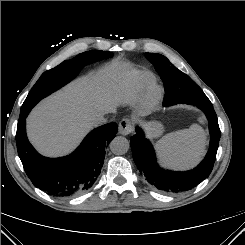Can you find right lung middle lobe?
Listing matches in <instances>:
<instances>
[{"label":"right lung middle lobe","mask_w":245,"mask_h":245,"mask_svg":"<svg viewBox=\"0 0 245 245\" xmlns=\"http://www.w3.org/2000/svg\"><path fill=\"white\" fill-rule=\"evenodd\" d=\"M111 56L112 53L109 51L91 50L78 54L71 60L63 61L55 68L44 72L29 92L21 107L20 115L28 114L42 98L70 82L79 73L86 59L91 57L106 59Z\"/></svg>","instance_id":"right-lung-middle-lobe-1"}]
</instances>
